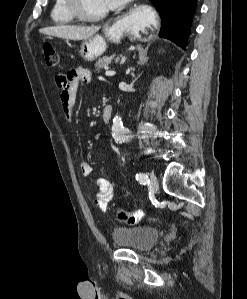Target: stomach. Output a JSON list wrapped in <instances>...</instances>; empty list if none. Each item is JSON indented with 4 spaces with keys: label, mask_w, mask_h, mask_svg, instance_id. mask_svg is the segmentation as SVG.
Segmentation results:
<instances>
[{
    "label": "stomach",
    "mask_w": 247,
    "mask_h": 299,
    "mask_svg": "<svg viewBox=\"0 0 247 299\" xmlns=\"http://www.w3.org/2000/svg\"><path fill=\"white\" fill-rule=\"evenodd\" d=\"M125 20L107 23L104 28V36L96 35L82 42L79 53L83 60L94 61L100 57L107 48V41L118 43L128 33L129 29L124 26Z\"/></svg>",
    "instance_id": "stomach-1"
}]
</instances>
